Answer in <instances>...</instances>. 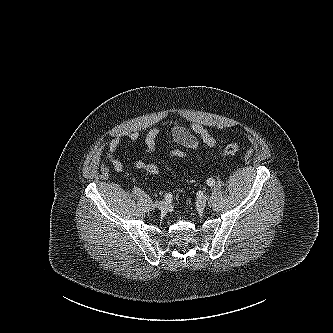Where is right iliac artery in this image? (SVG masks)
<instances>
[{"label": "right iliac artery", "instance_id": "right-iliac-artery-1", "mask_svg": "<svg viewBox=\"0 0 333 333\" xmlns=\"http://www.w3.org/2000/svg\"><path fill=\"white\" fill-rule=\"evenodd\" d=\"M164 199L166 200L167 203H170L171 200H172L171 194H166L165 197H164Z\"/></svg>", "mask_w": 333, "mask_h": 333}]
</instances>
